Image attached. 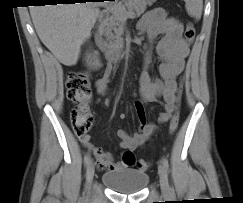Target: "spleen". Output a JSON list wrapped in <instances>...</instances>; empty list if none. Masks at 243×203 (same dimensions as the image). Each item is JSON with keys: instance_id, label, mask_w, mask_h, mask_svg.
Returning <instances> with one entry per match:
<instances>
[{"instance_id": "spleen-1", "label": "spleen", "mask_w": 243, "mask_h": 203, "mask_svg": "<svg viewBox=\"0 0 243 203\" xmlns=\"http://www.w3.org/2000/svg\"><path fill=\"white\" fill-rule=\"evenodd\" d=\"M187 13L199 20L203 10V0H184Z\"/></svg>"}]
</instances>
